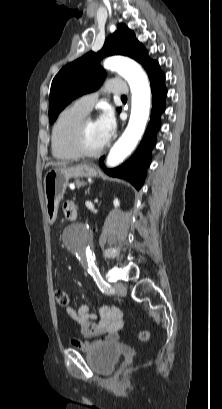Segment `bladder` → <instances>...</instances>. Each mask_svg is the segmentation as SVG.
Wrapping results in <instances>:
<instances>
[{"instance_id":"bladder-1","label":"bladder","mask_w":222,"mask_h":409,"mask_svg":"<svg viewBox=\"0 0 222 409\" xmlns=\"http://www.w3.org/2000/svg\"><path fill=\"white\" fill-rule=\"evenodd\" d=\"M122 353L123 349L120 344L105 342L90 348L86 353V360L95 372L110 374Z\"/></svg>"}]
</instances>
